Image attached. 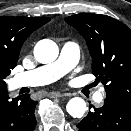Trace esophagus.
<instances>
[{"instance_id":"obj_1","label":"esophagus","mask_w":131,"mask_h":131,"mask_svg":"<svg viewBox=\"0 0 131 131\" xmlns=\"http://www.w3.org/2000/svg\"><path fill=\"white\" fill-rule=\"evenodd\" d=\"M71 94L70 93H59V92H52L49 94V97L51 98H60V97H63V96H70Z\"/></svg>"}]
</instances>
